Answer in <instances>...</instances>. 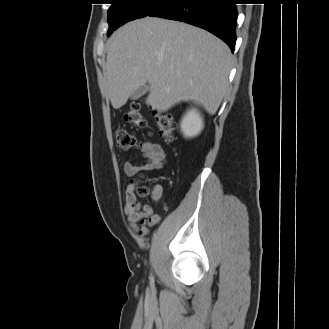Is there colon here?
I'll return each mask as SVG.
<instances>
[{
	"label": "colon",
	"mask_w": 329,
	"mask_h": 329,
	"mask_svg": "<svg viewBox=\"0 0 329 329\" xmlns=\"http://www.w3.org/2000/svg\"><path fill=\"white\" fill-rule=\"evenodd\" d=\"M126 122L138 128H145L146 121L142 114L141 104L138 101L131 102L124 114ZM155 123L158 128V132L161 137L167 141H172L175 138L176 124L173 120V116L169 111H159L155 115ZM115 138L117 145L122 150H130L138 146L136 138L124 129H117L115 131ZM136 194L140 197L151 196L154 198V192L151 191L145 185L139 183H132Z\"/></svg>",
	"instance_id": "colon-1"
}]
</instances>
